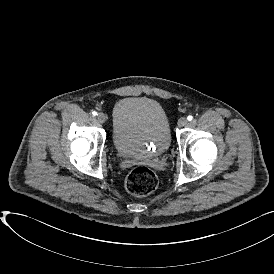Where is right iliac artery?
<instances>
[{
	"mask_svg": "<svg viewBox=\"0 0 274 274\" xmlns=\"http://www.w3.org/2000/svg\"><path fill=\"white\" fill-rule=\"evenodd\" d=\"M92 115L96 116V115H97V112H96V111H93V112H92Z\"/></svg>",
	"mask_w": 274,
	"mask_h": 274,
	"instance_id": "82829eb1",
	"label": "right iliac artery"
}]
</instances>
